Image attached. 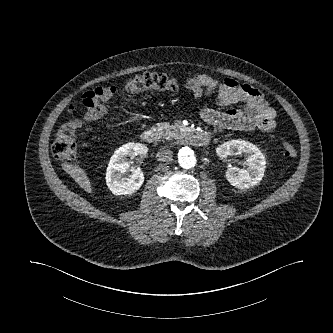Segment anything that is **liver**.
I'll return each mask as SVG.
<instances>
[{
	"instance_id": "6515ba94",
	"label": "liver",
	"mask_w": 333,
	"mask_h": 333,
	"mask_svg": "<svg viewBox=\"0 0 333 333\" xmlns=\"http://www.w3.org/2000/svg\"><path fill=\"white\" fill-rule=\"evenodd\" d=\"M64 166H66L67 172L71 175L75 182L79 184L81 188H83L87 193L92 192L91 183L83 169L67 164H64Z\"/></svg>"
}]
</instances>
